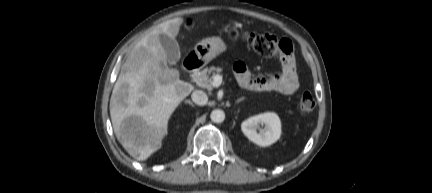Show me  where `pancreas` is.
Here are the masks:
<instances>
[{"label":"pancreas","mask_w":432,"mask_h":193,"mask_svg":"<svg viewBox=\"0 0 432 193\" xmlns=\"http://www.w3.org/2000/svg\"><path fill=\"white\" fill-rule=\"evenodd\" d=\"M222 71L221 68L211 66L209 68H205L200 72H197L193 75V81L202 88L212 90L213 77L217 74H220ZM211 75V76H210Z\"/></svg>","instance_id":"pancreas-1"}]
</instances>
